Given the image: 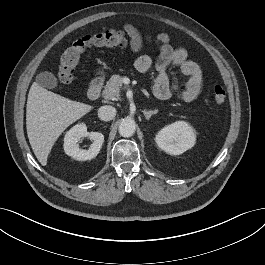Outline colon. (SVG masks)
Returning a JSON list of instances; mask_svg holds the SVG:
<instances>
[{"label":"colon","instance_id":"5ec220e1","mask_svg":"<svg viewBox=\"0 0 265 265\" xmlns=\"http://www.w3.org/2000/svg\"><path fill=\"white\" fill-rule=\"evenodd\" d=\"M128 37L123 32L106 30L95 34L86 35L67 47L60 55L58 62V80L67 85L72 82L74 73L78 67L82 54L92 47H119L124 46ZM226 100V92L223 87L217 85L213 90V101L216 106H222Z\"/></svg>","mask_w":265,"mask_h":265}]
</instances>
